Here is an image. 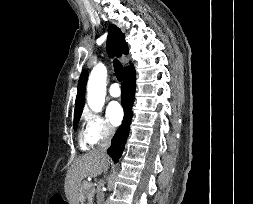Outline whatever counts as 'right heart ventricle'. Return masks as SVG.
Listing matches in <instances>:
<instances>
[{
	"label": "right heart ventricle",
	"mask_w": 253,
	"mask_h": 204,
	"mask_svg": "<svg viewBox=\"0 0 253 204\" xmlns=\"http://www.w3.org/2000/svg\"><path fill=\"white\" fill-rule=\"evenodd\" d=\"M90 143L88 141V138L85 134V130H81L79 134V146L82 150H87Z\"/></svg>",
	"instance_id": "e07e8e85"
}]
</instances>
